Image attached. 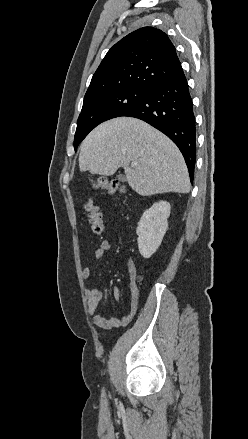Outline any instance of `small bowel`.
Listing matches in <instances>:
<instances>
[{"instance_id": "small-bowel-1", "label": "small bowel", "mask_w": 248, "mask_h": 439, "mask_svg": "<svg viewBox=\"0 0 248 439\" xmlns=\"http://www.w3.org/2000/svg\"><path fill=\"white\" fill-rule=\"evenodd\" d=\"M112 248V243L110 240H103L100 246L94 251L93 257L95 261H100L104 258L105 254ZM92 267H86L82 270V278L88 279L92 275ZM129 272V290L131 294L129 308L126 314L120 318H108L98 313L99 304L104 297V292L101 288H86L84 291L88 312L92 316L95 325L104 328L111 329L120 326L128 325L134 316L136 315L139 302V288H138V277L136 268L133 262L128 263ZM113 297L118 300L120 297V290L118 287H113L112 289Z\"/></svg>"}]
</instances>
